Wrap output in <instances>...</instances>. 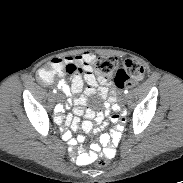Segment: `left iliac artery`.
Returning a JSON list of instances; mask_svg holds the SVG:
<instances>
[{
  "mask_svg": "<svg viewBox=\"0 0 183 183\" xmlns=\"http://www.w3.org/2000/svg\"><path fill=\"white\" fill-rule=\"evenodd\" d=\"M128 92H129V91H128L127 89L124 91L125 94H127Z\"/></svg>",
  "mask_w": 183,
  "mask_h": 183,
  "instance_id": "left-iliac-artery-1",
  "label": "left iliac artery"
}]
</instances>
